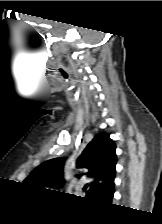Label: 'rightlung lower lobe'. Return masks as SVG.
<instances>
[{
  "mask_svg": "<svg viewBox=\"0 0 162 224\" xmlns=\"http://www.w3.org/2000/svg\"><path fill=\"white\" fill-rule=\"evenodd\" d=\"M112 198H113V195H112L111 197L107 198L106 200H107L108 202H111Z\"/></svg>",
  "mask_w": 162,
  "mask_h": 224,
  "instance_id": "1",
  "label": "right lung lower lobe"
}]
</instances>
